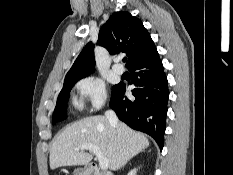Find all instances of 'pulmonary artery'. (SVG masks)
<instances>
[{"label":"pulmonary artery","instance_id":"e3ab8cb5","mask_svg":"<svg viewBox=\"0 0 233 175\" xmlns=\"http://www.w3.org/2000/svg\"><path fill=\"white\" fill-rule=\"evenodd\" d=\"M113 70H114L115 73H117L119 75L124 73V68L122 67V65H120L118 63L114 64Z\"/></svg>","mask_w":233,"mask_h":175}]
</instances>
